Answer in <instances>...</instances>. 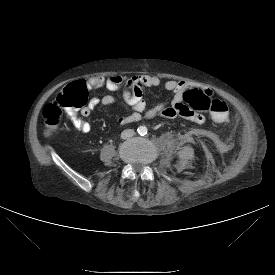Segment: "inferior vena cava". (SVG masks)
Returning <instances> with one entry per match:
<instances>
[{"instance_id":"1","label":"inferior vena cava","mask_w":275,"mask_h":275,"mask_svg":"<svg viewBox=\"0 0 275 275\" xmlns=\"http://www.w3.org/2000/svg\"><path fill=\"white\" fill-rule=\"evenodd\" d=\"M134 134H135L134 130L126 129L121 133V138L128 139V138L132 137Z\"/></svg>"}]
</instances>
